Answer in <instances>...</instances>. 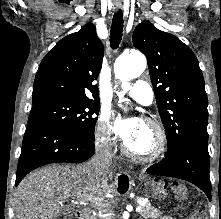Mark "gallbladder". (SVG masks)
Listing matches in <instances>:
<instances>
[{
  "label": "gallbladder",
  "instance_id": "1",
  "mask_svg": "<svg viewBox=\"0 0 221 219\" xmlns=\"http://www.w3.org/2000/svg\"><path fill=\"white\" fill-rule=\"evenodd\" d=\"M68 211H69V208H64V209L61 210V214H65Z\"/></svg>",
  "mask_w": 221,
  "mask_h": 219
}]
</instances>
